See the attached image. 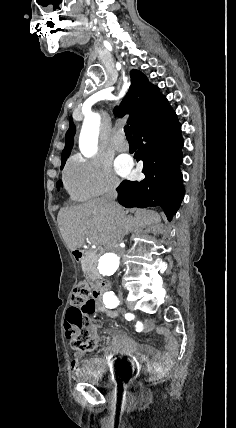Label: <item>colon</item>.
<instances>
[{
    "label": "colon",
    "mask_w": 236,
    "mask_h": 428,
    "mask_svg": "<svg viewBox=\"0 0 236 428\" xmlns=\"http://www.w3.org/2000/svg\"><path fill=\"white\" fill-rule=\"evenodd\" d=\"M98 309V303L85 281L78 282L71 294V306L67 310L64 329L72 349L88 352L97 344L95 326L90 316Z\"/></svg>",
    "instance_id": "colon-1"
}]
</instances>
